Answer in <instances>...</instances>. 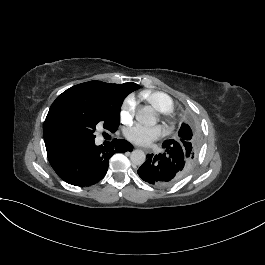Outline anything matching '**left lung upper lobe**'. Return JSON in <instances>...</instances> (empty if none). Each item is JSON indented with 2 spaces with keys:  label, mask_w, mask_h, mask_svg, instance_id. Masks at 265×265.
<instances>
[{
  "label": "left lung upper lobe",
  "mask_w": 265,
  "mask_h": 265,
  "mask_svg": "<svg viewBox=\"0 0 265 265\" xmlns=\"http://www.w3.org/2000/svg\"><path fill=\"white\" fill-rule=\"evenodd\" d=\"M169 142H177L184 154L185 174L194 166L199 152L201 136L199 131L190 124L183 123L178 133V137ZM177 145V146H178Z\"/></svg>",
  "instance_id": "1"
}]
</instances>
